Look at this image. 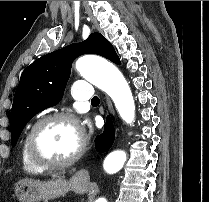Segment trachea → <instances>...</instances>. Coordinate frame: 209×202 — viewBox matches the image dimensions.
<instances>
[{
	"label": "trachea",
	"mask_w": 209,
	"mask_h": 202,
	"mask_svg": "<svg viewBox=\"0 0 209 202\" xmlns=\"http://www.w3.org/2000/svg\"><path fill=\"white\" fill-rule=\"evenodd\" d=\"M100 100L97 96H94L93 99L91 100V103L94 104V103H99Z\"/></svg>",
	"instance_id": "trachea-1"
}]
</instances>
